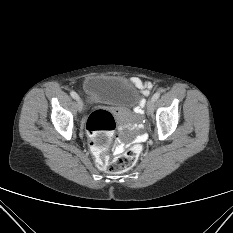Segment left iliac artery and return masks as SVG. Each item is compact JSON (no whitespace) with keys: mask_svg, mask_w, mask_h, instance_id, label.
<instances>
[{"mask_svg":"<svg viewBox=\"0 0 233 233\" xmlns=\"http://www.w3.org/2000/svg\"><path fill=\"white\" fill-rule=\"evenodd\" d=\"M159 97H160V92L158 91L153 95L152 99L156 101Z\"/></svg>","mask_w":233,"mask_h":233,"instance_id":"44dca946","label":"left iliac artery"}]
</instances>
